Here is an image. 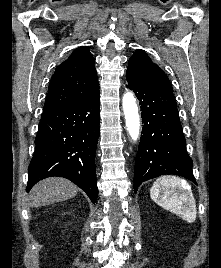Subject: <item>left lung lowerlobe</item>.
<instances>
[{
  "instance_id": "obj_1",
  "label": "left lung lower lobe",
  "mask_w": 221,
  "mask_h": 268,
  "mask_svg": "<svg viewBox=\"0 0 221 268\" xmlns=\"http://www.w3.org/2000/svg\"><path fill=\"white\" fill-rule=\"evenodd\" d=\"M127 87L139 100L143 123L135 161L134 191L142 182L163 174L179 175L196 184L173 93L130 82Z\"/></svg>"
}]
</instances>
